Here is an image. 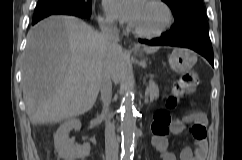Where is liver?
I'll list each match as a JSON object with an SVG mask.
<instances>
[{"label": "liver", "instance_id": "liver-1", "mask_svg": "<svg viewBox=\"0 0 242 160\" xmlns=\"http://www.w3.org/2000/svg\"><path fill=\"white\" fill-rule=\"evenodd\" d=\"M112 50H119L124 76L126 55L109 47L102 34L72 16H51L27 35L22 62L26 112L32 124L60 122L89 111L99 93V79L108 68ZM147 54L159 47L143 46Z\"/></svg>", "mask_w": 242, "mask_h": 160}]
</instances>
